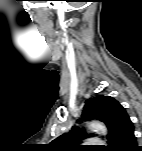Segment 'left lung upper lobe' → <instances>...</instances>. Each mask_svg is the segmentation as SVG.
Listing matches in <instances>:
<instances>
[{
	"label": "left lung upper lobe",
	"instance_id": "left-lung-upper-lobe-1",
	"mask_svg": "<svg viewBox=\"0 0 142 151\" xmlns=\"http://www.w3.org/2000/svg\"><path fill=\"white\" fill-rule=\"evenodd\" d=\"M82 118L87 120L98 119L106 124L109 130L107 136L109 145L105 147L106 150H112L121 136L133 128L125 108L110 96L99 95L86 100ZM80 121L82 122V119ZM80 138H85L84 129L73 127L68 133L53 140L50 146L56 151L74 150L79 147L74 143Z\"/></svg>",
	"mask_w": 142,
	"mask_h": 151
}]
</instances>
